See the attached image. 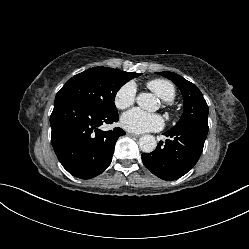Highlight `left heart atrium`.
Wrapping results in <instances>:
<instances>
[{
    "mask_svg": "<svg viewBox=\"0 0 249 249\" xmlns=\"http://www.w3.org/2000/svg\"><path fill=\"white\" fill-rule=\"evenodd\" d=\"M163 124L164 121L160 115L150 114L139 108L131 109L121 117L122 127L135 133L159 130Z\"/></svg>",
    "mask_w": 249,
    "mask_h": 249,
    "instance_id": "left-heart-atrium-1",
    "label": "left heart atrium"
}]
</instances>
